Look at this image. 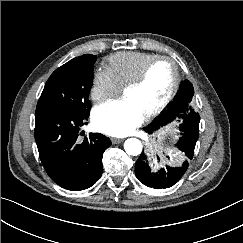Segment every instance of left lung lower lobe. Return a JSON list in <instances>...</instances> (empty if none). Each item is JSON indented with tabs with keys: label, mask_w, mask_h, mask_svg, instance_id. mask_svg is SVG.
Listing matches in <instances>:
<instances>
[{
	"label": "left lung lower lobe",
	"mask_w": 243,
	"mask_h": 243,
	"mask_svg": "<svg viewBox=\"0 0 243 243\" xmlns=\"http://www.w3.org/2000/svg\"><path fill=\"white\" fill-rule=\"evenodd\" d=\"M189 103L177 104L175 113L172 114L173 116L184 119L183 124L179 128L182 133L176 147L183 153L187 160L193 158L196 141L199 136L200 122L199 114L193 112ZM188 110H190V113L187 114ZM176 117H169L168 122L176 119ZM159 127L157 123L153 122L145 128V131L152 133ZM187 160L179 167L166 166V168H162L158 172H152L148 164V157L142 152L135 165V174L138 180L148 187L155 189L168 188L174 185L184 175L188 168ZM157 161L160 162L158 156Z\"/></svg>",
	"instance_id": "0a47b994"
}]
</instances>
